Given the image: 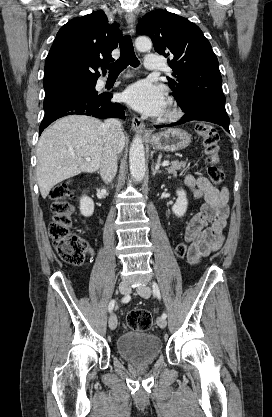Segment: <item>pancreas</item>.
I'll return each mask as SVG.
<instances>
[{"mask_svg":"<svg viewBox=\"0 0 272 417\" xmlns=\"http://www.w3.org/2000/svg\"><path fill=\"white\" fill-rule=\"evenodd\" d=\"M185 167H186L185 162L173 161V162H171V166L169 168H167V171H168V173L176 174L177 170L185 169Z\"/></svg>","mask_w":272,"mask_h":417,"instance_id":"pancreas-1","label":"pancreas"}]
</instances>
